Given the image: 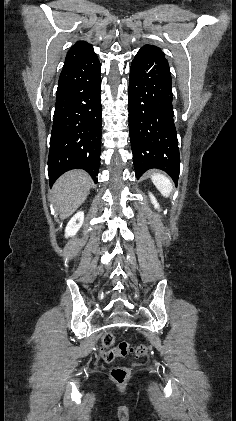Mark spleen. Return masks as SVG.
<instances>
[{"instance_id": "1", "label": "spleen", "mask_w": 236, "mask_h": 421, "mask_svg": "<svg viewBox=\"0 0 236 421\" xmlns=\"http://www.w3.org/2000/svg\"><path fill=\"white\" fill-rule=\"evenodd\" d=\"M152 182H154L156 188L160 190L163 196H169L173 190V184L165 174H160V172H153Z\"/></svg>"}]
</instances>
